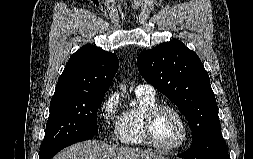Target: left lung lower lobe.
<instances>
[{
	"label": "left lung lower lobe",
	"mask_w": 253,
	"mask_h": 159,
	"mask_svg": "<svg viewBox=\"0 0 253 159\" xmlns=\"http://www.w3.org/2000/svg\"><path fill=\"white\" fill-rule=\"evenodd\" d=\"M181 158L185 159H195V158H201V159H230V156L228 154L226 143L223 140L218 141L214 146L212 151L205 155L200 157L193 151L191 148H189L186 152L179 155Z\"/></svg>",
	"instance_id": "0a47b994"
}]
</instances>
